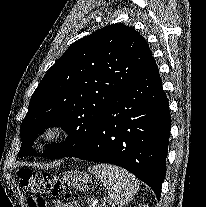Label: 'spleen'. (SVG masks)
<instances>
[{"label":"spleen","instance_id":"1","mask_svg":"<svg viewBox=\"0 0 206 207\" xmlns=\"http://www.w3.org/2000/svg\"><path fill=\"white\" fill-rule=\"evenodd\" d=\"M88 171L98 177L108 191L109 201L124 205L133 200L139 189V182L130 172L112 165L96 164Z\"/></svg>","mask_w":206,"mask_h":207}]
</instances>
